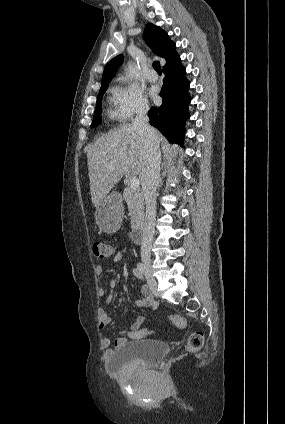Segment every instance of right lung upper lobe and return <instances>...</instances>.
<instances>
[{
    "instance_id": "1",
    "label": "right lung upper lobe",
    "mask_w": 285,
    "mask_h": 424,
    "mask_svg": "<svg viewBox=\"0 0 285 424\" xmlns=\"http://www.w3.org/2000/svg\"><path fill=\"white\" fill-rule=\"evenodd\" d=\"M144 39L149 43L153 52L164 58L167 67L175 62H177L180 57L178 56L175 50V43L171 41L167 33H165L161 28L148 23L144 31ZM123 61V55H118L113 58L105 67L103 72V77L101 81V87L108 86L111 79L114 77L117 68L121 65Z\"/></svg>"
}]
</instances>
